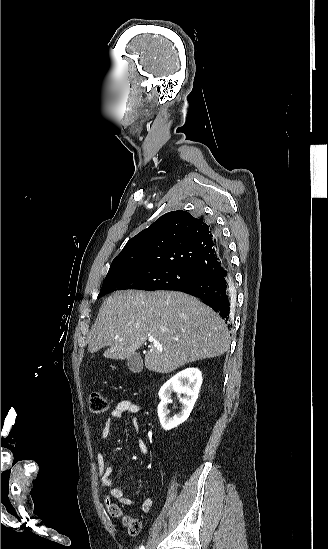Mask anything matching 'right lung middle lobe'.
I'll return each instance as SVG.
<instances>
[{
  "label": "right lung middle lobe",
  "instance_id": "right-lung-middle-lobe-1",
  "mask_svg": "<svg viewBox=\"0 0 328 549\" xmlns=\"http://www.w3.org/2000/svg\"><path fill=\"white\" fill-rule=\"evenodd\" d=\"M205 277L194 270L165 265L133 263L108 272L98 297L117 289L174 290Z\"/></svg>",
  "mask_w": 328,
  "mask_h": 549
}]
</instances>
